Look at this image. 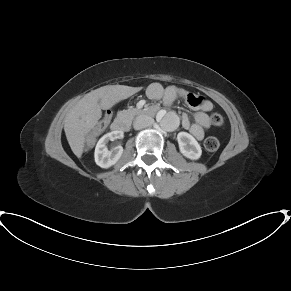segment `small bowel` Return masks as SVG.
I'll list each match as a JSON object with an SVG mask.
<instances>
[{
	"label": "small bowel",
	"mask_w": 291,
	"mask_h": 291,
	"mask_svg": "<svg viewBox=\"0 0 291 291\" xmlns=\"http://www.w3.org/2000/svg\"><path fill=\"white\" fill-rule=\"evenodd\" d=\"M147 96L154 101L163 100L166 105H171L177 98L184 99L185 102L196 110L191 123L187 115L181 118V125L198 140H201L207 129L210 127L209 112L213 109V103L202 96L190 92L180 86H169L164 88L160 83H152L147 88Z\"/></svg>",
	"instance_id": "obj_1"
}]
</instances>
